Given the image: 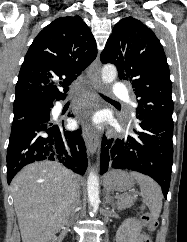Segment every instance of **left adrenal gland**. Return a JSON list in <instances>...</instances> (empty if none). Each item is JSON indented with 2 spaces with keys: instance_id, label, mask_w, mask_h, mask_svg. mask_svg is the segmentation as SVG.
I'll return each mask as SVG.
<instances>
[{
  "instance_id": "1",
  "label": "left adrenal gland",
  "mask_w": 187,
  "mask_h": 242,
  "mask_svg": "<svg viewBox=\"0 0 187 242\" xmlns=\"http://www.w3.org/2000/svg\"><path fill=\"white\" fill-rule=\"evenodd\" d=\"M105 203L111 205V207H115L114 197L110 195V193H105Z\"/></svg>"
}]
</instances>
